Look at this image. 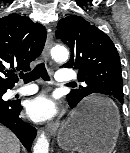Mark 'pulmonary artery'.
<instances>
[{"mask_svg": "<svg viewBox=\"0 0 130 153\" xmlns=\"http://www.w3.org/2000/svg\"><path fill=\"white\" fill-rule=\"evenodd\" d=\"M77 78V74L71 70H59L56 73V80L61 83H71ZM38 91V87L36 85H28L23 88L15 89L11 91L9 96H27L32 95Z\"/></svg>", "mask_w": 130, "mask_h": 153, "instance_id": "1", "label": "pulmonary artery"}]
</instances>
